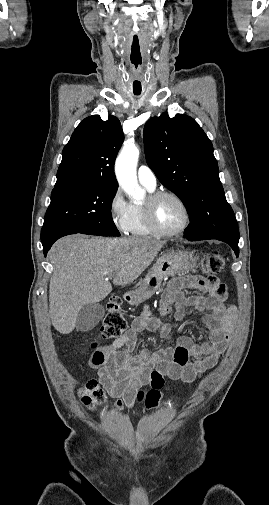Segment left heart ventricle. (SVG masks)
<instances>
[{"mask_svg":"<svg viewBox=\"0 0 269 505\" xmlns=\"http://www.w3.org/2000/svg\"><path fill=\"white\" fill-rule=\"evenodd\" d=\"M182 206L171 197L161 198L155 206V219L164 230L179 229L185 222Z\"/></svg>","mask_w":269,"mask_h":505,"instance_id":"1","label":"left heart ventricle"}]
</instances>
